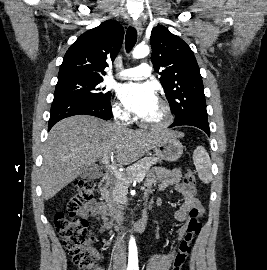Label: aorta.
I'll return each mask as SVG.
<instances>
[{
    "label": "aorta",
    "mask_w": 267,
    "mask_h": 270,
    "mask_svg": "<svg viewBox=\"0 0 267 270\" xmlns=\"http://www.w3.org/2000/svg\"><path fill=\"white\" fill-rule=\"evenodd\" d=\"M150 50L146 45H138L134 48L132 55L135 59H140L148 56ZM138 254H137V246L135 239L133 237L130 238L129 241V262L134 263L137 262Z\"/></svg>",
    "instance_id": "obj_1"
}]
</instances>
